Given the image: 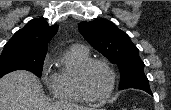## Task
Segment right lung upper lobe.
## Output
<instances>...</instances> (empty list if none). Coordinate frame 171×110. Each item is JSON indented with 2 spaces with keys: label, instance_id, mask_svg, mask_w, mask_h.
<instances>
[{
  "label": "right lung upper lobe",
  "instance_id": "1",
  "mask_svg": "<svg viewBox=\"0 0 171 110\" xmlns=\"http://www.w3.org/2000/svg\"><path fill=\"white\" fill-rule=\"evenodd\" d=\"M57 30L58 25L49 26L45 20L34 19L18 30L5 47H15L26 53L46 55L47 44Z\"/></svg>",
  "mask_w": 171,
  "mask_h": 110
}]
</instances>
